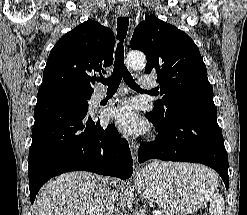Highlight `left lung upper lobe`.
Masks as SVG:
<instances>
[{
    "mask_svg": "<svg viewBox=\"0 0 247 215\" xmlns=\"http://www.w3.org/2000/svg\"><path fill=\"white\" fill-rule=\"evenodd\" d=\"M130 47L145 53V72L157 74L162 100L154 103L155 110L166 116L183 110L216 112L206 66L185 32L150 15L135 29Z\"/></svg>",
    "mask_w": 247,
    "mask_h": 215,
    "instance_id": "obj_1",
    "label": "left lung upper lobe"
}]
</instances>
